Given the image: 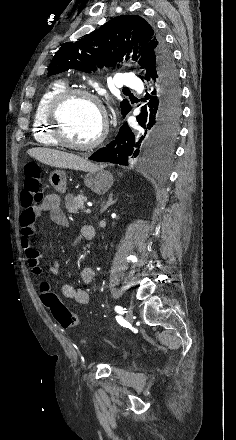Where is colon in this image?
I'll return each instance as SVG.
<instances>
[{
    "label": "colon",
    "mask_w": 236,
    "mask_h": 440,
    "mask_svg": "<svg viewBox=\"0 0 236 440\" xmlns=\"http://www.w3.org/2000/svg\"><path fill=\"white\" fill-rule=\"evenodd\" d=\"M44 196V185L37 164H28L24 168V188L21 193V204L24 208H30L40 203ZM44 302L47 304L53 318L64 328L77 326L80 318L72 313L65 304L46 285L42 292Z\"/></svg>",
    "instance_id": "colon-1"
}]
</instances>
